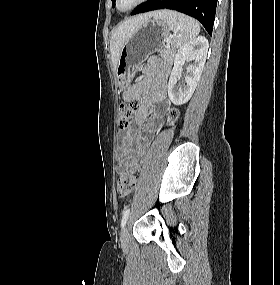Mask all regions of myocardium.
Segmentation results:
<instances>
[{
  "instance_id": "obj_1",
  "label": "myocardium",
  "mask_w": 280,
  "mask_h": 285,
  "mask_svg": "<svg viewBox=\"0 0 280 285\" xmlns=\"http://www.w3.org/2000/svg\"><path fill=\"white\" fill-rule=\"evenodd\" d=\"M120 1L121 0H115V2H114L115 9L118 12L126 13V12H129V11L135 9L136 7H138L139 5L144 3L146 0H135L129 7L125 8V9L120 8Z\"/></svg>"
}]
</instances>
